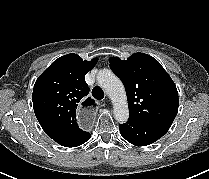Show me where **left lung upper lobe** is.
<instances>
[{
    "instance_id": "1",
    "label": "left lung upper lobe",
    "mask_w": 209,
    "mask_h": 179,
    "mask_svg": "<svg viewBox=\"0 0 209 179\" xmlns=\"http://www.w3.org/2000/svg\"><path fill=\"white\" fill-rule=\"evenodd\" d=\"M109 63L125 86L129 118L168 130L179 101L176 85L161 64L145 53H134L127 60L111 57Z\"/></svg>"
}]
</instances>
